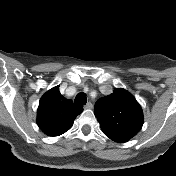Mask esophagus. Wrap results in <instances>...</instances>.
Segmentation results:
<instances>
[{
	"label": "esophagus",
	"instance_id": "esophagus-1",
	"mask_svg": "<svg viewBox=\"0 0 176 176\" xmlns=\"http://www.w3.org/2000/svg\"><path fill=\"white\" fill-rule=\"evenodd\" d=\"M85 109H92L93 108V104L91 102H88L85 106Z\"/></svg>",
	"mask_w": 176,
	"mask_h": 176
}]
</instances>
